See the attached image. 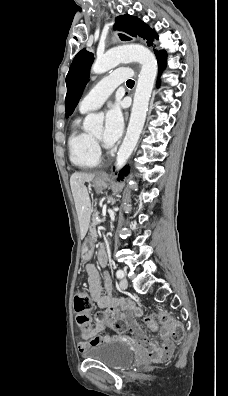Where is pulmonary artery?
Masks as SVG:
<instances>
[{
  "instance_id": "obj_1",
  "label": "pulmonary artery",
  "mask_w": 228,
  "mask_h": 396,
  "mask_svg": "<svg viewBox=\"0 0 228 396\" xmlns=\"http://www.w3.org/2000/svg\"><path fill=\"white\" fill-rule=\"evenodd\" d=\"M131 76L132 71L130 69L119 68L101 79L81 100L79 105L80 112L86 113L101 107L114 89Z\"/></svg>"
}]
</instances>
